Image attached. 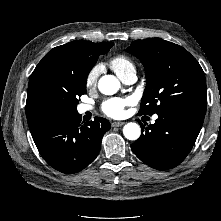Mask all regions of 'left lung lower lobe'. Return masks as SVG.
Masks as SVG:
<instances>
[{
  "instance_id": "1",
  "label": "left lung lower lobe",
  "mask_w": 221,
  "mask_h": 221,
  "mask_svg": "<svg viewBox=\"0 0 221 221\" xmlns=\"http://www.w3.org/2000/svg\"><path fill=\"white\" fill-rule=\"evenodd\" d=\"M204 115L199 112L174 109L158 115L155 124L131 144L134 154L158 170L178 166L191 151L202 127Z\"/></svg>"
}]
</instances>
